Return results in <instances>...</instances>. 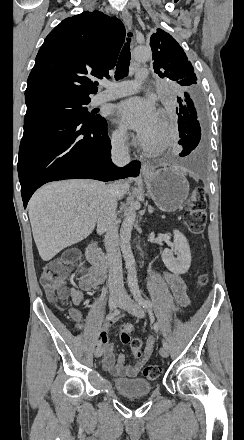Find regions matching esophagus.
<instances>
[{"instance_id": "esophagus-1", "label": "esophagus", "mask_w": 244, "mask_h": 440, "mask_svg": "<svg viewBox=\"0 0 244 440\" xmlns=\"http://www.w3.org/2000/svg\"><path fill=\"white\" fill-rule=\"evenodd\" d=\"M122 18H123L125 25L128 27L129 30H131L132 29V16H131V14L127 10H124L122 12ZM151 168H152V163L144 162L141 167V173L142 174L149 173Z\"/></svg>"}]
</instances>
